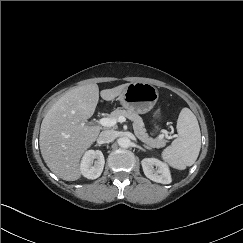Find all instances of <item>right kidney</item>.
I'll list each match as a JSON object with an SVG mask.
<instances>
[{"instance_id":"right-kidney-1","label":"right kidney","mask_w":243,"mask_h":243,"mask_svg":"<svg viewBox=\"0 0 243 243\" xmlns=\"http://www.w3.org/2000/svg\"><path fill=\"white\" fill-rule=\"evenodd\" d=\"M104 164V155L100 150H89L82 158L81 173L88 179H96L101 175Z\"/></svg>"}]
</instances>
